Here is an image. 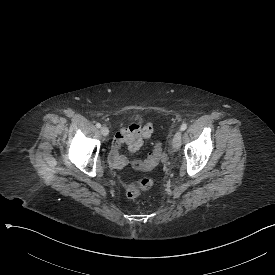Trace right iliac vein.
<instances>
[{"label": "right iliac vein", "instance_id": "63e3f726", "mask_svg": "<svg viewBox=\"0 0 275 275\" xmlns=\"http://www.w3.org/2000/svg\"><path fill=\"white\" fill-rule=\"evenodd\" d=\"M101 133L104 136H107L109 134V129L105 126L101 127Z\"/></svg>", "mask_w": 275, "mask_h": 275}]
</instances>
